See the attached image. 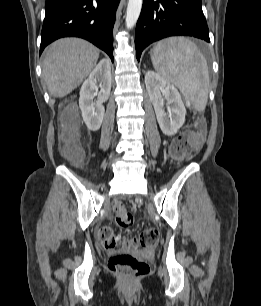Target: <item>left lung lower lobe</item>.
I'll use <instances>...</instances> for the list:
<instances>
[{"label": "left lung lower lobe", "mask_w": 261, "mask_h": 306, "mask_svg": "<svg viewBox=\"0 0 261 306\" xmlns=\"http://www.w3.org/2000/svg\"><path fill=\"white\" fill-rule=\"evenodd\" d=\"M181 35L210 42L201 0H143L135 34L138 61L149 44Z\"/></svg>", "instance_id": "obj_1"}]
</instances>
